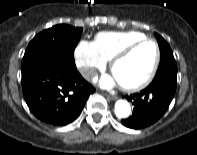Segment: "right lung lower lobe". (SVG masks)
<instances>
[{
  "instance_id": "obj_1",
  "label": "right lung lower lobe",
  "mask_w": 197,
  "mask_h": 155,
  "mask_svg": "<svg viewBox=\"0 0 197 155\" xmlns=\"http://www.w3.org/2000/svg\"><path fill=\"white\" fill-rule=\"evenodd\" d=\"M22 89L31 112L39 120L55 126L73 122L89 95L95 92L74 62L65 60L44 63L22 76Z\"/></svg>"
}]
</instances>
